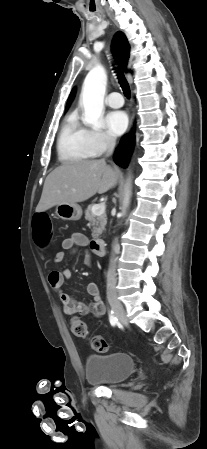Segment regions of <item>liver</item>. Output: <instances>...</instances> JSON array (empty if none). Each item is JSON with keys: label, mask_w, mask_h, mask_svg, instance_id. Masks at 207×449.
I'll use <instances>...</instances> for the list:
<instances>
[{"label": "liver", "mask_w": 207, "mask_h": 449, "mask_svg": "<svg viewBox=\"0 0 207 449\" xmlns=\"http://www.w3.org/2000/svg\"><path fill=\"white\" fill-rule=\"evenodd\" d=\"M117 171L104 160H81L65 163L46 178L36 212H44L59 204H74L114 188Z\"/></svg>", "instance_id": "6515ba94"}]
</instances>
